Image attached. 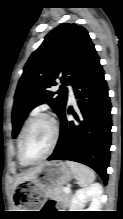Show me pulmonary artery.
I'll use <instances>...</instances> for the list:
<instances>
[{"label": "pulmonary artery", "instance_id": "e3ab8cb5", "mask_svg": "<svg viewBox=\"0 0 123 219\" xmlns=\"http://www.w3.org/2000/svg\"><path fill=\"white\" fill-rule=\"evenodd\" d=\"M68 90H69V100H74L75 96L72 86H68Z\"/></svg>", "mask_w": 123, "mask_h": 219}]
</instances>
